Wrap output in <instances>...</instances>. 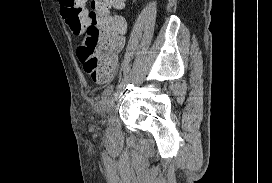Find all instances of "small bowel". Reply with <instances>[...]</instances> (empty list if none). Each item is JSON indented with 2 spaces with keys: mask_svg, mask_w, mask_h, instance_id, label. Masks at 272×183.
<instances>
[{
  "mask_svg": "<svg viewBox=\"0 0 272 183\" xmlns=\"http://www.w3.org/2000/svg\"><path fill=\"white\" fill-rule=\"evenodd\" d=\"M59 4H60V2H59ZM60 5H61V4H60ZM61 10H62V7H61ZM114 72H115V70L113 71V73H112L108 78L103 79V80H100V79H98V78H94L93 76H92V77H93L94 81H97V82H99V83H103V82L108 81V80L113 76Z\"/></svg>",
  "mask_w": 272,
  "mask_h": 183,
  "instance_id": "obj_1",
  "label": "small bowel"
}]
</instances>
